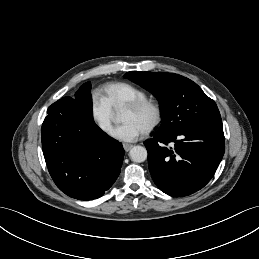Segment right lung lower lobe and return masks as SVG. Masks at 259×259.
I'll return each mask as SVG.
<instances>
[{"instance_id": "98d812e1", "label": "right lung lower lobe", "mask_w": 259, "mask_h": 259, "mask_svg": "<svg viewBox=\"0 0 259 259\" xmlns=\"http://www.w3.org/2000/svg\"><path fill=\"white\" fill-rule=\"evenodd\" d=\"M47 113L42 149L53 181L72 198L101 197L120 174L122 144L86 118L70 97L53 103Z\"/></svg>"}]
</instances>
